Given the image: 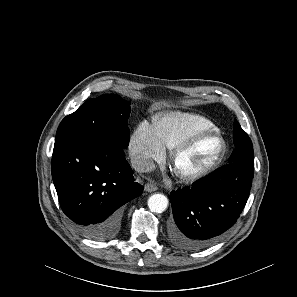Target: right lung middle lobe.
I'll return each instance as SVG.
<instances>
[{
	"label": "right lung middle lobe",
	"instance_id": "1",
	"mask_svg": "<svg viewBox=\"0 0 297 297\" xmlns=\"http://www.w3.org/2000/svg\"><path fill=\"white\" fill-rule=\"evenodd\" d=\"M130 103L115 94L88 99L60 123L55 143L99 138L123 149L129 144Z\"/></svg>",
	"mask_w": 297,
	"mask_h": 297
}]
</instances>
